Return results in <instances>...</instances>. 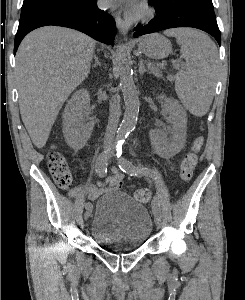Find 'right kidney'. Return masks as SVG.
I'll list each match as a JSON object with an SVG mask.
<instances>
[{"instance_id": "1", "label": "right kidney", "mask_w": 245, "mask_h": 300, "mask_svg": "<svg viewBox=\"0 0 245 300\" xmlns=\"http://www.w3.org/2000/svg\"><path fill=\"white\" fill-rule=\"evenodd\" d=\"M90 95L81 89L68 101L63 115V134L66 143L74 150L82 149L92 133L94 122L88 116Z\"/></svg>"}]
</instances>
